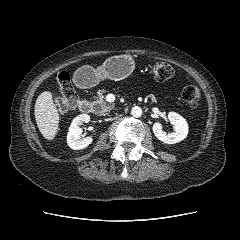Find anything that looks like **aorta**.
Segmentation results:
<instances>
[{
  "mask_svg": "<svg viewBox=\"0 0 240 240\" xmlns=\"http://www.w3.org/2000/svg\"><path fill=\"white\" fill-rule=\"evenodd\" d=\"M131 115L136 118L140 117L142 115V109L138 106L133 107L131 109Z\"/></svg>",
  "mask_w": 240,
  "mask_h": 240,
  "instance_id": "762f6f07",
  "label": "aorta"
}]
</instances>
